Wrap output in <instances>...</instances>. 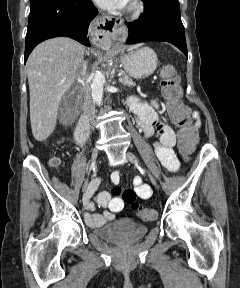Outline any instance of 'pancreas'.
Instances as JSON below:
<instances>
[{
	"instance_id": "obj_1",
	"label": "pancreas",
	"mask_w": 240,
	"mask_h": 288,
	"mask_svg": "<svg viewBox=\"0 0 240 288\" xmlns=\"http://www.w3.org/2000/svg\"><path fill=\"white\" fill-rule=\"evenodd\" d=\"M120 82L123 84V85H127V86H130V85H134V82L132 79H130L128 76L124 75L120 78Z\"/></svg>"
}]
</instances>
